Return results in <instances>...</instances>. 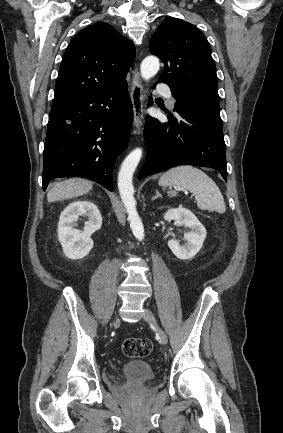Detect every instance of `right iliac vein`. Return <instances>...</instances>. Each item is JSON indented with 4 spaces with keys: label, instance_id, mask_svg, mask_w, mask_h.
<instances>
[{
    "label": "right iliac vein",
    "instance_id": "right-iliac-vein-1",
    "mask_svg": "<svg viewBox=\"0 0 283 433\" xmlns=\"http://www.w3.org/2000/svg\"><path fill=\"white\" fill-rule=\"evenodd\" d=\"M118 323H119V318L116 317V318L114 319V321H113V325L118 324Z\"/></svg>",
    "mask_w": 283,
    "mask_h": 433
}]
</instances>
